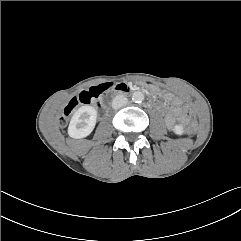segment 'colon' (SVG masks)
Wrapping results in <instances>:
<instances>
[{
	"instance_id": "obj_1",
	"label": "colon",
	"mask_w": 241,
	"mask_h": 241,
	"mask_svg": "<svg viewBox=\"0 0 241 241\" xmlns=\"http://www.w3.org/2000/svg\"><path fill=\"white\" fill-rule=\"evenodd\" d=\"M111 87L112 83H104L83 90L77 97L71 99L65 106L60 119L61 123L64 124L69 116L74 113L79 106L98 101L103 94L111 89ZM183 115L185 119L189 120L188 128L186 127L183 129V134L187 136L190 132L196 133L198 131V118L195 116L191 107L186 106L183 110Z\"/></svg>"
}]
</instances>
